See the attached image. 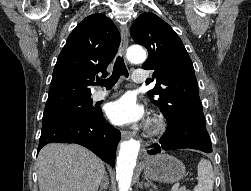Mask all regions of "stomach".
<instances>
[{
	"label": "stomach",
	"instance_id": "obj_1",
	"mask_svg": "<svg viewBox=\"0 0 251 191\" xmlns=\"http://www.w3.org/2000/svg\"><path fill=\"white\" fill-rule=\"evenodd\" d=\"M144 173L149 179L154 181H165V183H174L179 181L185 175V165L183 161L168 155V153H158L146 159Z\"/></svg>",
	"mask_w": 251,
	"mask_h": 191
}]
</instances>
